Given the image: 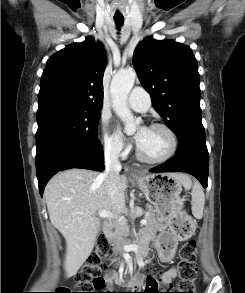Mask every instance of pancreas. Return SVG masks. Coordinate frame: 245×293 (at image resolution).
I'll return each instance as SVG.
<instances>
[{
	"label": "pancreas",
	"instance_id": "cf45deb5",
	"mask_svg": "<svg viewBox=\"0 0 245 293\" xmlns=\"http://www.w3.org/2000/svg\"><path fill=\"white\" fill-rule=\"evenodd\" d=\"M147 220L146 228L154 231L162 230L165 228V225L158 220L156 210L148 206V210L144 216ZM129 236V227L123 223H117L114 225V231L109 234L108 240L112 243L114 251L116 253L123 252V246L128 242L127 237Z\"/></svg>",
	"mask_w": 245,
	"mask_h": 293
}]
</instances>
